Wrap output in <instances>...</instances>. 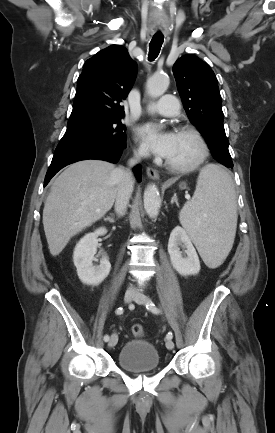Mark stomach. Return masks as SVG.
Returning a JSON list of instances; mask_svg holds the SVG:
<instances>
[{"mask_svg": "<svg viewBox=\"0 0 275 433\" xmlns=\"http://www.w3.org/2000/svg\"><path fill=\"white\" fill-rule=\"evenodd\" d=\"M180 188H181V189H185V188H186V185H185L184 183H182V184L180 185Z\"/></svg>", "mask_w": 275, "mask_h": 433, "instance_id": "1", "label": "stomach"}]
</instances>
